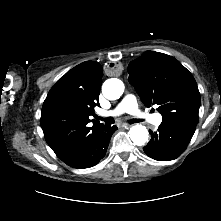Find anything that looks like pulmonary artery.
<instances>
[{
    "label": "pulmonary artery",
    "instance_id": "obj_1",
    "mask_svg": "<svg viewBox=\"0 0 221 221\" xmlns=\"http://www.w3.org/2000/svg\"><path fill=\"white\" fill-rule=\"evenodd\" d=\"M122 113H130L135 115L138 119L150 122L154 125H159L162 122V116L160 114H149L138 108L135 96L126 95L118 106L111 111H103V116H116Z\"/></svg>",
    "mask_w": 221,
    "mask_h": 221
}]
</instances>
